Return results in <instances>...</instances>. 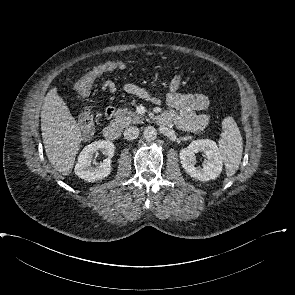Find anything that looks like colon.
I'll return each instance as SVG.
<instances>
[{"label": "colon", "mask_w": 295, "mask_h": 295, "mask_svg": "<svg viewBox=\"0 0 295 295\" xmlns=\"http://www.w3.org/2000/svg\"><path fill=\"white\" fill-rule=\"evenodd\" d=\"M124 64L121 62H105L98 65L96 68L89 71L86 77L82 81L81 91L87 95L90 93L94 80L102 73L118 70L124 68ZM173 82L179 84L178 79H174ZM80 128L84 134H91L94 130L95 122L94 115L91 111H84L79 120Z\"/></svg>", "instance_id": "colon-1"}]
</instances>
